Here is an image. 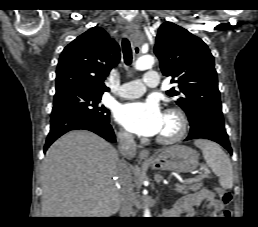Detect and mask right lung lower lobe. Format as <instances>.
<instances>
[{"label":"right lung lower lobe","mask_w":258,"mask_h":227,"mask_svg":"<svg viewBox=\"0 0 258 227\" xmlns=\"http://www.w3.org/2000/svg\"><path fill=\"white\" fill-rule=\"evenodd\" d=\"M76 129L89 130L109 142H116L114 131L109 123H99L76 113L59 112L51 114V127L44 146V152L61 135Z\"/></svg>","instance_id":"obj_1"}]
</instances>
